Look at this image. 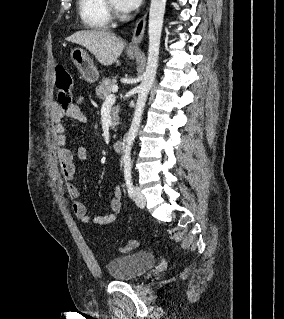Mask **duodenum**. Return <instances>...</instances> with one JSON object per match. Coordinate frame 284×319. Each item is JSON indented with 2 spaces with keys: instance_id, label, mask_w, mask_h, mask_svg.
Segmentation results:
<instances>
[{
  "instance_id": "obj_1",
  "label": "duodenum",
  "mask_w": 284,
  "mask_h": 319,
  "mask_svg": "<svg viewBox=\"0 0 284 319\" xmlns=\"http://www.w3.org/2000/svg\"><path fill=\"white\" fill-rule=\"evenodd\" d=\"M123 146H124V143L122 140H116L114 143H113V149L116 151V152H120L122 149H123Z\"/></svg>"
}]
</instances>
